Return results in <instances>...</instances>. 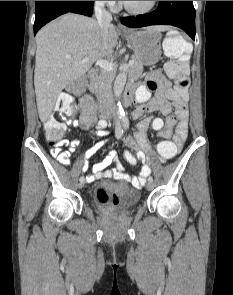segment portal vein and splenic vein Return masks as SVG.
Listing matches in <instances>:
<instances>
[{
    "label": "portal vein and splenic vein",
    "mask_w": 233,
    "mask_h": 295,
    "mask_svg": "<svg viewBox=\"0 0 233 295\" xmlns=\"http://www.w3.org/2000/svg\"><path fill=\"white\" fill-rule=\"evenodd\" d=\"M67 58H71V56H67ZM82 61L83 62H87L88 61V58L85 57V58L82 59ZM133 63H134V60L133 59L130 60L129 61V66H132ZM96 64L99 65L100 68L103 69V70H105V71L111 72V71L114 70V65L112 63L106 62V61H104V60H102L100 58L97 59Z\"/></svg>",
    "instance_id": "1"
}]
</instances>
